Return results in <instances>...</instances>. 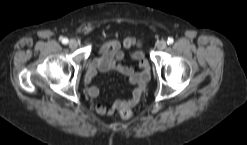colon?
Returning a JSON list of instances; mask_svg holds the SVG:
<instances>
[{"label": "colon", "mask_w": 247, "mask_h": 145, "mask_svg": "<svg viewBox=\"0 0 247 145\" xmlns=\"http://www.w3.org/2000/svg\"><path fill=\"white\" fill-rule=\"evenodd\" d=\"M119 116L123 119H129L132 117V110L127 107L121 108L119 110Z\"/></svg>", "instance_id": "obj_1"}]
</instances>
